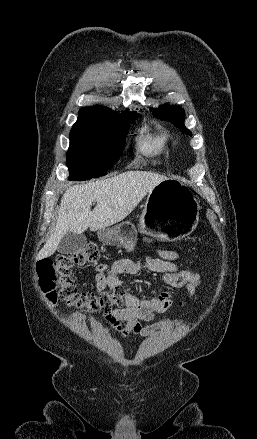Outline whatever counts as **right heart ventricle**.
Segmentation results:
<instances>
[{"label":"right heart ventricle","instance_id":"right-heart-ventricle-1","mask_svg":"<svg viewBox=\"0 0 257 439\" xmlns=\"http://www.w3.org/2000/svg\"><path fill=\"white\" fill-rule=\"evenodd\" d=\"M168 142V134L160 132L155 135H147L140 141V149L148 155H157L162 152Z\"/></svg>","mask_w":257,"mask_h":439}]
</instances>
